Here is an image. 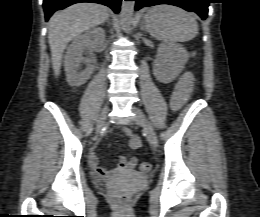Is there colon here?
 Wrapping results in <instances>:
<instances>
[{"label": "colon", "instance_id": "1", "mask_svg": "<svg viewBox=\"0 0 260 217\" xmlns=\"http://www.w3.org/2000/svg\"><path fill=\"white\" fill-rule=\"evenodd\" d=\"M140 169L144 172H149L152 166L148 162H143L140 164ZM113 200L119 206H126L129 202V196L125 193H118L113 196Z\"/></svg>", "mask_w": 260, "mask_h": 217}]
</instances>
